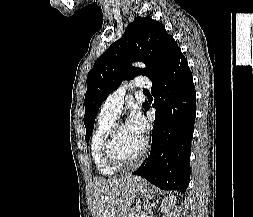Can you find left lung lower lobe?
Wrapping results in <instances>:
<instances>
[{
  "mask_svg": "<svg viewBox=\"0 0 253 217\" xmlns=\"http://www.w3.org/2000/svg\"><path fill=\"white\" fill-rule=\"evenodd\" d=\"M152 94L155 97L152 106L158 111L159 121L154 123L150 155L133 174L163 190L186 191L190 180L196 93L182 53L152 82Z\"/></svg>",
  "mask_w": 253,
  "mask_h": 217,
  "instance_id": "1",
  "label": "left lung lower lobe"
}]
</instances>
